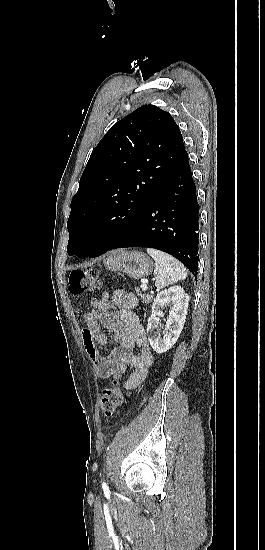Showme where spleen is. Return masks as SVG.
Here are the masks:
<instances>
[{"mask_svg":"<svg viewBox=\"0 0 265 550\" xmlns=\"http://www.w3.org/2000/svg\"><path fill=\"white\" fill-rule=\"evenodd\" d=\"M147 253L155 260V286L158 289L187 277L185 267L171 255L152 248H147Z\"/></svg>","mask_w":265,"mask_h":550,"instance_id":"obj_1","label":"spleen"}]
</instances>
